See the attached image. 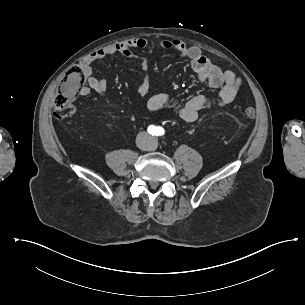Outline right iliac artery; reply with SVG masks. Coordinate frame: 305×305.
Instances as JSON below:
<instances>
[{"instance_id": "1", "label": "right iliac artery", "mask_w": 305, "mask_h": 305, "mask_svg": "<svg viewBox=\"0 0 305 305\" xmlns=\"http://www.w3.org/2000/svg\"><path fill=\"white\" fill-rule=\"evenodd\" d=\"M148 131L150 132V134L155 135L156 134V127L154 125H150L148 127Z\"/></svg>"}]
</instances>
